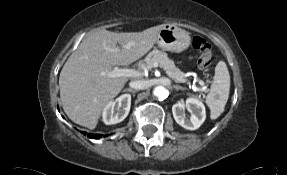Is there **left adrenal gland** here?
Here are the masks:
<instances>
[{
    "mask_svg": "<svg viewBox=\"0 0 287 175\" xmlns=\"http://www.w3.org/2000/svg\"><path fill=\"white\" fill-rule=\"evenodd\" d=\"M175 90L183 89L181 86H174L173 87Z\"/></svg>",
    "mask_w": 287,
    "mask_h": 175,
    "instance_id": "a2214340",
    "label": "left adrenal gland"
}]
</instances>
